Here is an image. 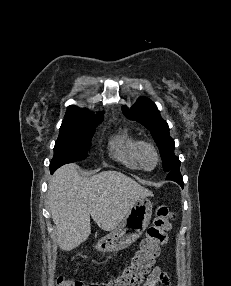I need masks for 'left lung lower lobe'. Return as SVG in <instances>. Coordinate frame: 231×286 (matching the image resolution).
<instances>
[{
    "instance_id": "1",
    "label": "left lung lower lobe",
    "mask_w": 231,
    "mask_h": 286,
    "mask_svg": "<svg viewBox=\"0 0 231 286\" xmlns=\"http://www.w3.org/2000/svg\"><path fill=\"white\" fill-rule=\"evenodd\" d=\"M167 179L168 180H173L175 182H177L178 184L181 185V187L184 186L183 180H182V176L179 172V168L178 169H174L172 171H170L167 175Z\"/></svg>"
}]
</instances>
